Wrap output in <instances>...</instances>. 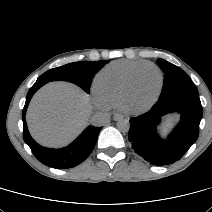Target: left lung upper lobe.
<instances>
[{"label": "left lung upper lobe", "instance_id": "obj_1", "mask_svg": "<svg viewBox=\"0 0 212 212\" xmlns=\"http://www.w3.org/2000/svg\"><path fill=\"white\" fill-rule=\"evenodd\" d=\"M157 62L164 72V84L159 98L178 93L199 96L195 84L182 69L163 59H157Z\"/></svg>", "mask_w": 212, "mask_h": 212}]
</instances>
